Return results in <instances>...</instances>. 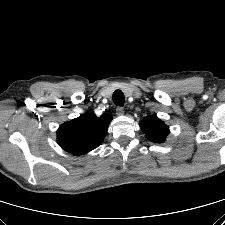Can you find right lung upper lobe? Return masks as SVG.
Instances as JSON below:
<instances>
[{
	"mask_svg": "<svg viewBox=\"0 0 225 225\" xmlns=\"http://www.w3.org/2000/svg\"><path fill=\"white\" fill-rule=\"evenodd\" d=\"M111 120L109 114L97 117L93 113H85L59 127L58 144L69 153L83 155L102 143Z\"/></svg>",
	"mask_w": 225,
	"mask_h": 225,
	"instance_id": "right-lung-upper-lobe-1",
	"label": "right lung upper lobe"
}]
</instances>
